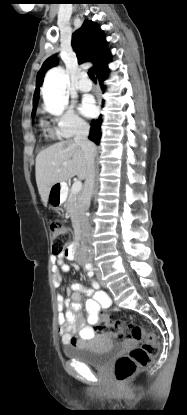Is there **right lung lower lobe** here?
<instances>
[{
    "label": "right lung lower lobe",
    "mask_w": 187,
    "mask_h": 415,
    "mask_svg": "<svg viewBox=\"0 0 187 415\" xmlns=\"http://www.w3.org/2000/svg\"><path fill=\"white\" fill-rule=\"evenodd\" d=\"M110 61V59L107 61L105 65L102 66V68L96 73V76L99 80V83L101 85V89L104 90L106 88L105 85H103L104 80L107 78V75L109 73V70L107 69V64ZM101 116L97 120H93L91 123V129L89 134V139L94 141L96 144H99L100 138H101V131H100V125H101Z\"/></svg>",
    "instance_id": "right-lung-lower-lobe-1"
}]
</instances>
